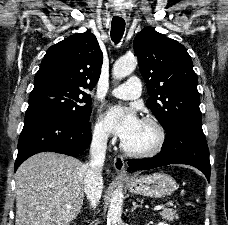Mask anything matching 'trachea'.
<instances>
[{
    "instance_id": "trachea-1",
    "label": "trachea",
    "mask_w": 228,
    "mask_h": 225,
    "mask_svg": "<svg viewBox=\"0 0 228 225\" xmlns=\"http://www.w3.org/2000/svg\"><path fill=\"white\" fill-rule=\"evenodd\" d=\"M125 30V21L120 17H113L111 24V38L116 44L120 42Z\"/></svg>"
}]
</instances>
